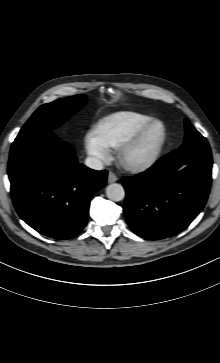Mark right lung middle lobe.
<instances>
[{
    "label": "right lung middle lobe",
    "instance_id": "1",
    "mask_svg": "<svg viewBox=\"0 0 220 363\" xmlns=\"http://www.w3.org/2000/svg\"><path fill=\"white\" fill-rule=\"evenodd\" d=\"M85 102L86 96L79 94L40 106L21 129L11 150H15L34 137L50 133L76 113Z\"/></svg>",
    "mask_w": 220,
    "mask_h": 363
}]
</instances>
